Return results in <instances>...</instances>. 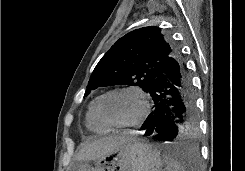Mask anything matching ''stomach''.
<instances>
[{"label":"stomach","mask_w":245,"mask_h":171,"mask_svg":"<svg viewBox=\"0 0 245 171\" xmlns=\"http://www.w3.org/2000/svg\"><path fill=\"white\" fill-rule=\"evenodd\" d=\"M160 151L134 138L94 161L81 162L74 171H163Z\"/></svg>","instance_id":"stomach-1"}]
</instances>
